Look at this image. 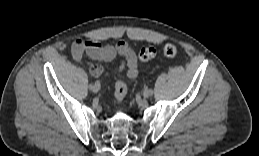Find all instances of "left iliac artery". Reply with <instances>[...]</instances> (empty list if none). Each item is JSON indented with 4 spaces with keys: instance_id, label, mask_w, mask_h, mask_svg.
I'll return each mask as SVG.
<instances>
[{
    "instance_id": "1",
    "label": "left iliac artery",
    "mask_w": 259,
    "mask_h": 156,
    "mask_svg": "<svg viewBox=\"0 0 259 156\" xmlns=\"http://www.w3.org/2000/svg\"><path fill=\"white\" fill-rule=\"evenodd\" d=\"M154 92L153 88H147V93H149V95H152Z\"/></svg>"
}]
</instances>
